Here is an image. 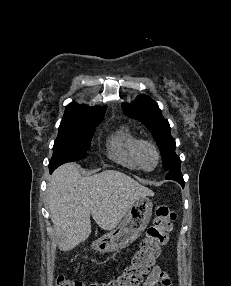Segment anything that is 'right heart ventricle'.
<instances>
[{"label": "right heart ventricle", "mask_w": 231, "mask_h": 286, "mask_svg": "<svg viewBox=\"0 0 231 286\" xmlns=\"http://www.w3.org/2000/svg\"><path fill=\"white\" fill-rule=\"evenodd\" d=\"M139 137L127 126L116 130L107 141L108 157L131 170H138L137 147Z\"/></svg>", "instance_id": "1"}]
</instances>
